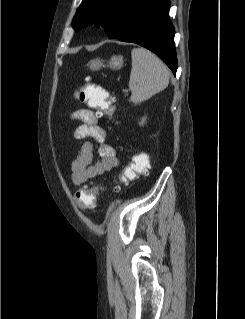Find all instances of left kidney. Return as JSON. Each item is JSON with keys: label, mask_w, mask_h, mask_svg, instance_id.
<instances>
[{"label": "left kidney", "mask_w": 245, "mask_h": 319, "mask_svg": "<svg viewBox=\"0 0 245 319\" xmlns=\"http://www.w3.org/2000/svg\"><path fill=\"white\" fill-rule=\"evenodd\" d=\"M146 122V117H142L141 121L139 122L140 126H143Z\"/></svg>", "instance_id": "5707ae66"}]
</instances>
